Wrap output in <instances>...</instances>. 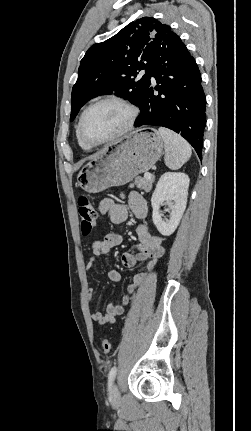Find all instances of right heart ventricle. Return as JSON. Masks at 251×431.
I'll return each mask as SVG.
<instances>
[{"instance_id":"1","label":"right heart ventricle","mask_w":251,"mask_h":431,"mask_svg":"<svg viewBox=\"0 0 251 431\" xmlns=\"http://www.w3.org/2000/svg\"><path fill=\"white\" fill-rule=\"evenodd\" d=\"M76 137H77L78 144H79V146L81 147V149H82V150H84V151H88V150H90V147L86 146V145H85V144L80 140L79 135H78V127H77V129H76Z\"/></svg>"}]
</instances>
